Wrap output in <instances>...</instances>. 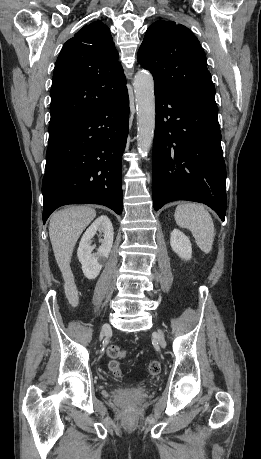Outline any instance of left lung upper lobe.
<instances>
[{
  "instance_id": "obj_1",
  "label": "left lung upper lobe",
  "mask_w": 261,
  "mask_h": 459,
  "mask_svg": "<svg viewBox=\"0 0 261 459\" xmlns=\"http://www.w3.org/2000/svg\"><path fill=\"white\" fill-rule=\"evenodd\" d=\"M137 60L152 73L155 88L184 98L215 102L206 55L187 27L168 20L156 21L146 31Z\"/></svg>"
}]
</instances>
